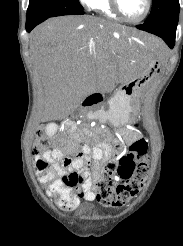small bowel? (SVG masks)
<instances>
[{"mask_svg":"<svg viewBox=\"0 0 183 246\" xmlns=\"http://www.w3.org/2000/svg\"><path fill=\"white\" fill-rule=\"evenodd\" d=\"M102 132L101 129H96L93 132L83 129L81 133L74 136L76 139H85L91 136L95 145L93 147L83 145L77 149L78 158L73 163H59L63 160L60 147H56L43 155L52 164V177L48 178L43 175L41 182L47 185L50 194L60 196L59 202L62 207L73 209L80 200L93 201L95 199L94 181L99 179L100 168L109 159L113 146L109 138L102 137ZM119 132L128 146L140 138L139 134L133 130L121 129ZM90 159L93 160L92 164ZM62 178H77V180L72 184H65Z\"/></svg>","mask_w":183,"mask_h":246,"instance_id":"c3829d8e","label":"small bowel"}]
</instances>
